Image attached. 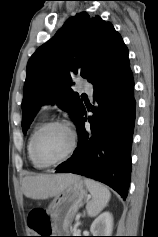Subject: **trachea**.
Segmentation results:
<instances>
[{"mask_svg":"<svg viewBox=\"0 0 158 237\" xmlns=\"http://www.w3.org/2000/svg\"><path fill=\"white\" fill-rule=\"evenodd\" d=\"M82 96L86 97V94H83Z\"/></svg>","mask_w":158,"mask_h":237,"instance_id":"trachea-1","label":"trachea"}]
</instances>
